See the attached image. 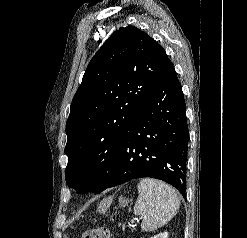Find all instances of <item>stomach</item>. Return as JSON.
Instances as JSON below:
<instances>
[{
	"instance_id": "0dacf381",
	"label": "stomach",
	"mask_w": 247,
	"mask_h": 238,
	"mask_svg": "<svg viewBox=\"0 0 247 238\" xmlns=\"http://www.w3.org/2000/svg\"><path fill=\"white\" fill-rule=\"evenodd\" d=\"M119 204L121 207H125L126 205H128V200L125 198H120Z\"/></svg>"
}]
</instances>
